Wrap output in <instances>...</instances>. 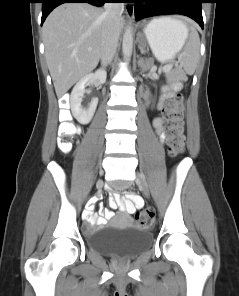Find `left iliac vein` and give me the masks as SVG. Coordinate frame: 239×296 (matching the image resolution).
Masks as SVG:
<instances>
[{
    "label": "left iliac vein",
    "mask_w": 239,
    "mask_h": 296,
    "mask_svg": "<svg viewBox=\"0 0 239 296\" xmlns=\"http://www.w3.org/2000/svg\"><path fill=\"white\" fill-rule=\"evenodd\" d=\"M136 182L142 188L144 194L149 196L148 185L145 177L142 174H137Z\"/></svg>",
    "instance_id": "obj_1"
}]
</instances>
